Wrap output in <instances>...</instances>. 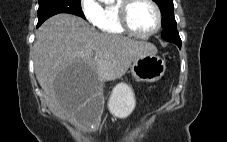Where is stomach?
I'll return each mask as SVG.
<instances>
[{
    "instance_id": "stomach-1",
    "label": "stomach",
    "mask_w": 227,
    "mask_h": 142,
    "mask_svg": "<svg viewBox=\"0 0 227 142\" xmlns=\"http://www.w3.org/2000/svg\"><path fill=\"white\" fill-rule=\"evenodd\" d=\"M165 60L156 54H148L137 58L132 66V76L137 81L156 82L165 73ZM109 110L118 118L127 117L135 107V94L133 88L127 83L117 84L109 98Z\"/></svg>"
}]
</instances>
